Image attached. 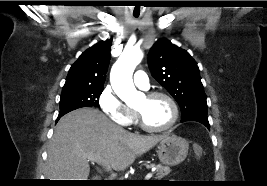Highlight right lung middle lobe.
Returning <instances> with one entry per match:
<instances>
[{
	"instance_id": "1",
	"label": "right lung middle lobe",
	"mask_w": 267,
	"mask_h": 186,
	"mask_svg": "<svg viewBox=\"0 0 267 186\" xmlns=\"http://www.w3.org/2000/svg\"><path fill=\"white\" fill-rule=\"evenodd\" d=\"M103 88L68 87L63 88L59 114H66L82 107H98Z\"/></svg>"
}]
</instances>
